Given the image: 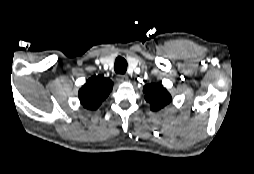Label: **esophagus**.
<instances>
[{
  "label": "esophagus",
  "mask_w": 254,
  "mask_h": 174,
  "mask_svg": "<svg viewBox=\"0 0 254 174\" xmlns=\"http://www.w3.org/2000/svg\"><path fill=\"white\" fill-rule=\"evenodd\" d=\"M117 81L118 82H120V83H124V82H128L129 81V78H128V76H126V75H118L117 76Z\"/></svg>",
  "instance_id": "obj_1"
}]
</instances>
